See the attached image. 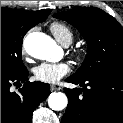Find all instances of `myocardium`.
Returning a JSON list of instances; mask_svg holds the SVG:
<instances>
[{
    "mask_svg": "<svg viewBox=\"0 0 123 123\" xmlns=\"http://www.w3.org/2000/svg\"><path fill=\"white\" fill-rule=\"evenodd\" d=\"M75 56L80 57L81 56V52L80 51L75 52Z\"/></svg>",
    "mask_w": 123,
    "mask_h": 123,
    "instance_id": "f54148a6",
    "label": "myocardium"
}]
</instances>
